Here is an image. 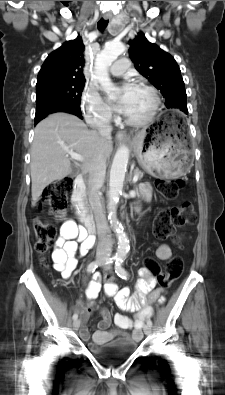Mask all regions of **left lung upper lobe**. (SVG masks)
Masks as SVG:
<instances>
[{"mask_svg": "<svg viewBox=\"0 0 225 395\" xmlns=\"http://www.w3.org/2000/svg\"><path fill=\"white\" fill-rule=\"evenodd\" d=\"M128 44L129 56L135 68L161 91L166 99V107L188 114L184 81L175 59L156 44L150 43L142 32Z\"/></svg>", "mask_w": 225, "mask_h": 395, "instance_id": "obj_1", "label": "left lung upper lobe"}]
</instances>
